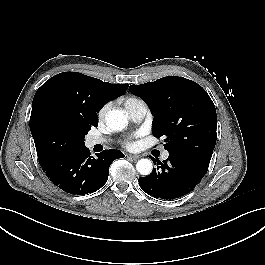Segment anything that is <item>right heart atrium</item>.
<instances>
[{
    "label": "right heart atrium",
    "mask_w": 265,
    "mask_h": 265,
    "mask_svg": "<svg viewBox=\"0 0 265 265\" xmlns=\"http://www.w3.org/2000/svg\"><path fill=\"white\" fill-rule=\"evenodd\" d=\"M110 109V104H105L104 106L101 107V109L98 111V118L99 119H104L107 112L109 111Z\"/></svg>",
    "instance_id": "right-heart-atrium-1"
}]
</instances>
